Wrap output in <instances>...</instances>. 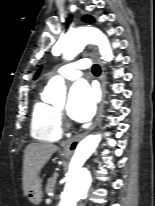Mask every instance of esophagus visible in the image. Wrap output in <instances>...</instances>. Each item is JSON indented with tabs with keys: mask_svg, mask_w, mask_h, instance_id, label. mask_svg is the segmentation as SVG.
I'll return each mask as SVG.
<instances>
[{
	"mask_svg": "<svg viewBox=\"0 0 155 206\" xmlns=\"http://www.w3.org/2000/svg\"><path fill=\"white\" fill-rule=\"evenodd\" d=\"M93 53H94L99 65L101 67V75H100L101 103H100L95 121L93 122L91 127L87 131H85L81 134H78V135L66 140L65 142H63L62 151L66 154H72L75 151L78 143L87 135L88 132H90L91 130H93L96 127V125L99 122L100 117H101L102 102H103V99L105 98V95H106V75H105V69H104L103 63L99 58L98 50L96 47L93 48Z\"/></svg>",
	"mask_w": 155,
	"mask_h": 206,
	"instance_id": "1",
	"label": "esophagus"
}]
</instances>
